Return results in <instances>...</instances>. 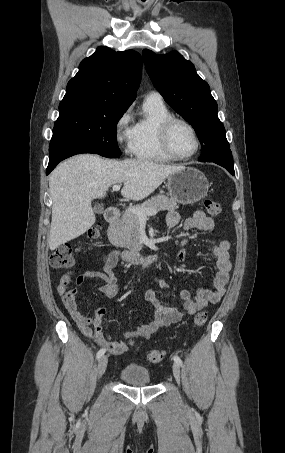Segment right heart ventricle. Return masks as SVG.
Listing matches in <instances>:
<instances>
[{
    "mask_svg": "<svg viewBox=\"0 0 285 453\" xmlns=\"http://www.w3.org/2000/svg\"><path fill=\"white\" fill-rule=\"evenodd\" d=\"M172 116L163 102L146 99L142 115L131 127L129 152L142 160L172 161L173 158L163 150L159 138L162 123Z\"/></svg>",
    "mask_w": 285,
    "mask_h": 453,
    "instance_id": "right-heart-ventricle-1",
    "label": "right heart ventricle"
}]
</instances>
